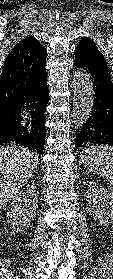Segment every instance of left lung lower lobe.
<instances>
[{"instance_id":"1","label":"left lung lower lobe","mask_w":113,"mask_h":279,"mask_svg":"<svg viewBox=\"0 0 113 279\" xmlns=\"http://www.w3.org/2000/svg\"><path fill=\"white\" fill-rule=\"evenodd\" d=\"M74 65L85 69L91 76L95 101L91 115L75 139V149L89 144L113 146V84L109 71L80 55Z\"/></svg>"}]
</instances>
